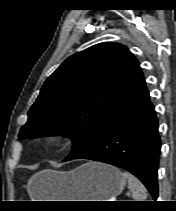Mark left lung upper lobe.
I'll list each match as a JSON object with an SVG mask.
<instances>
[{"instance_id": "5c2ea615", "label": "left lung upper lobe", "mask_w": 176, "mask_h": 211, "mask_svg": "<svg viewBox=\"0 0 176 211\" xmlns=\"http://www.w3.org/2000/svg\"><path fill=\"white\" fill-rule=\"evenodd\" d=\"M147 90L138 60L119 43H100L67 58L45 81L19 139L69 136L68 161L92 141L105 120Z\"/></svg>"}]
</instances>
